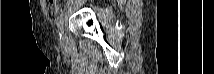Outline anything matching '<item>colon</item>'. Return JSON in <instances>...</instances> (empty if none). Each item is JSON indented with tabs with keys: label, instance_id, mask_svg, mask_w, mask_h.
I'll list each match as a JSON object with an SVG mask.
<instances>
[{
	"label": "colon",
	"instance_id": "5ec220e1",
	"mask_svg": "<svg viewBox=\"0 0 214 74\" xmlns=\"http://www.w3.org/2000/svg\"><path fill=\"white\" fill-rule=\"evenodd\" d=\"M51 4L58 2V0H49Z\"/></svg>",
	"mask_w": 214,
	"mask_h": 74
}]
</instances>
